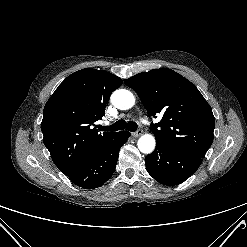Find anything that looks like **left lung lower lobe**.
I'll return each instance as SVG.
<instances>
[{
  "label": "left lung lower lobe",
  "instance_id": "0a47b994",
  "mask_svg": "<svg viewBox=\"0 0 247 247\" xmlns=\"http://www.w3.org/2000/svg\"><path fill=\"white\" fill-rule=\"evenodd\" d=\"M202 158L156 142V149L145 157L148 173L159 183L172 186L187 180L201 165Z\"/></svg>",
  "mask_w": 247,
  "mask_h": 247
}]
</instances>
